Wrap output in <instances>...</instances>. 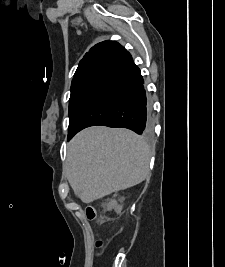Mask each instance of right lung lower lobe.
Instances as JSON below:
<instances>
[{
    "instance_id": "1",
    "label": "right lung lower lobe",
    "mask_w": 225,
    "mask_h": 267,
    "mask_svg": "<svg viewBox=\"0 0 225 267\" xmlns=\"http://www.w3.org/2000/svg\"><path fill=\"white\" fill-rule=\"evenodd\" d=\"M140 69L125 51L99 77L78 110L70 140L86 127L128 128L149 135L147 99Z\"/></svg>"
}]
</instances>
